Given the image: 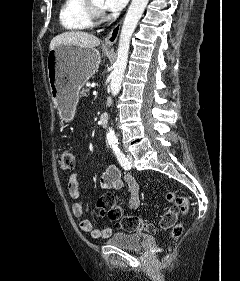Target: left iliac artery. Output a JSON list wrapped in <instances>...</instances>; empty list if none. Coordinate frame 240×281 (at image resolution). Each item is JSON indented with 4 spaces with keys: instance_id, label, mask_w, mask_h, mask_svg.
<instances>
[{
    "instance_id": "44dca946",
    "label": "left iliac artery",
    "mask_w": 240,
    "mask_h": 281,
    "mask_svg": "<svg viewBox=\"0 0 240 281\" xmlns=\"http://www.w3.org/2000/svg\"><path fill=\"white\" fill-rule=\"evenodd\" d=\"M114 153L117 157L118 162L120 165L125 169L129 170L131 169V164L128 161V159L125 157V155L120 151L119 147L117 145L113 146Z\"/></svg>"
}]
</instances>
